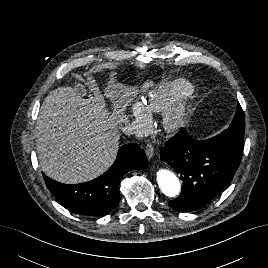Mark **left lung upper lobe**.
Masks as SVG:
<instances>
[{
    "label": "left lung upper lobe",
    "instance_id": "left-lung-upper-lobe-1",
    "mask_svg": "<svg viewBox=\"0 0 268 268\" xmlns=\"http://www.w3.org/2000/svg\"><path fill=\"white\" fill-rule=\"evenodd\" d=\"M245 130V118L243 110L238 104L233 121L228 129L218 134L214 138L221 144L243 152V139Z\"/></svg>",
    "mask_w": 268,
    "mask_h": 268
}]
</instances>
